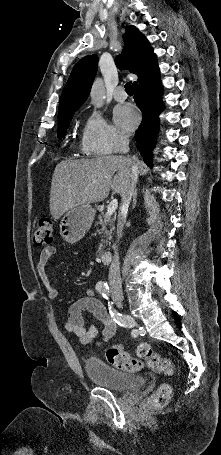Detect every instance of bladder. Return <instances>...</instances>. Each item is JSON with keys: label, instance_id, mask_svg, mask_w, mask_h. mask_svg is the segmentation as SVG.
Returning a JSON list of instances; mask_svg holds the SVG:
<instances>
[{"label": "bladder", "instance_id": "obj_1", "mask_svg": "<svg viewBox=\"0 0 221 455\" xmlns=\"http://www.w3.org/2000/svg\"><path fill=\"white\" fill-rule=\"evenodd\" d=\"M84 368L92 381L114 391L135 390L144 384L141 375L122 372L97 359H86Z\"/></svg>", "mask_w": 221, "mask_h": 455}]
</instances>
